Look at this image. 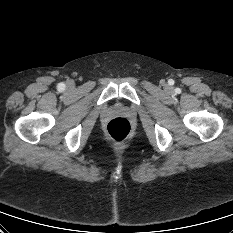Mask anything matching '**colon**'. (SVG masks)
I'll return each instance as SVG.
<instances>
[{"mask_svg":"<svg viewBox=\"0 0 233 233\" xmlns=\"http://www.w3.org/2000/svg\"><path fill=\"white\" fill-rule=\"evenodd\" d=\"M131 124L123 117H118L110 120L106 126L108 137L116 142L123 143L129 139L131 135Z\"/></svg>","mask_w":233,"mask_h":233,"instance_id":"obj_1","label":"colon"}]
</instances>
